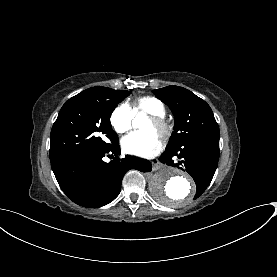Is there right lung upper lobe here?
I'll return each mask as SVG.
<instances>
[{
  "label": "right lung upper lobe",
  "mask_w": 277,
  "mask_h": 277,
  "mask_svg": "<svg viewBox=\"0 0 277 277\" xmlns=\"http://www.w3.org/2000/svg\"><path fill=\"white\" fill-rule=\"evenodd\" d=\"M108 89L107 87H93V88H89L87 89V91H91V92H100V91H104Z\"/></svg>",
  "instance_id": "right-lung-upper-lobe-1"
}]
</instances>
